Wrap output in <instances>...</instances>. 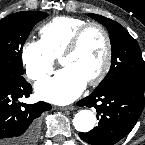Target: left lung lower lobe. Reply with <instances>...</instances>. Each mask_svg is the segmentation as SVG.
<instances>
[{
  "label": "left lung lower lobe",
  "mask_w": 145,
  "mask_h": 145,
  "mask_svg": "<svg viewBox=\"0 0 145 145\" xmlns=\"http://www.w3.org/2000/svg\"><path fill=\"white\" fill-rule=\"evenodd\" d=\"M77 104L94 107L99 119L97 127L79 133L81 139L92 145H113L125 137L139 119L144 106V85L118 82L101 91H93Z\"/></svg>",
  "instance_id": "obj_1"
}]
</instances>
